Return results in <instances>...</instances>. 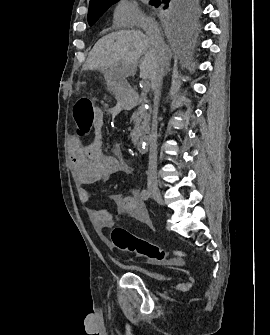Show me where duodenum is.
<instances>
[{
	"label": "duodenum",
	"mask_w": 270,
	"mask_h": 335,
	"mask_svg": "<svg viewBox=\"0 0 270 335\" xmlns=\"http://www.w3.org/2000/svg\"><path fill=\"white\" fill-rule=\"evenodd\" d=\"M138 101V94L129 87L123 85L120 89V104L123 109L133 108ZM136 147L140 153L148 151L149 142L146 137H139L136 140Z\"/></svg>",
	"instance_id": "410a0bca"
}]
</instances>
